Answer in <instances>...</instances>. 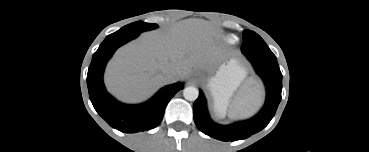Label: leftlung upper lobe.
<instances>
[{"mask_svg":"<svg viewBox=\"0 0 369 152\" xmlns=\"http://www.w3.org/2000/svg\"><path fill=\"white\" fill-rule=\"evenodd\" d=\"M242 52L247 56L276 58L268 48L264 40L255 32L245 30L243 32Z\"/></svg>","mask_w":369,"mask_h":152,"instance_id":"obj_1","label":"left lung upper lobe"}]
</instances>
